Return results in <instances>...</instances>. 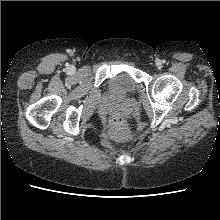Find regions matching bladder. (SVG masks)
Segmentation results:
<instances>
[{"mask_svg": "<svg viewBox=\"0 0 220 220\" xmlns=\"http://www.w3.org/2000/svg\"><path fill=\"white\" fill-rule=\"evenodd\" d=\"M136 87V82L130 75L121 73L113 79L111 90L115 95L124 97L133 94Z\"/></svg>", "mask_w": 220, "mask_h": 220, "instance_id": "obj_1", "label": "bladder"}]
</instances>
